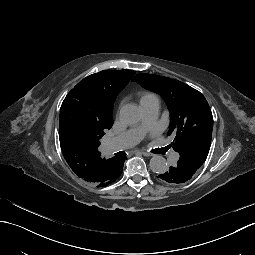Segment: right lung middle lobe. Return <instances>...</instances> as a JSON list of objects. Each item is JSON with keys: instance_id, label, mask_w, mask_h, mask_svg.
<instances>
[{"instance_id": "dd1d6c3e", "label": "right lung middle lobe", "mask_w": 255, "mask_h": 255, "mask_svg": "<svg viewBox=\"0 0 255 255\" xmlns=\"http://www.w3.org/2000/svg\"><path fill=\"white\" fill-rule=\"evenodd\" d=\"M106 127L100 123L79 119L70 110L61 107L59 138L60 145L69 147L99 146Z\"/></svg>"}]
</instances>
